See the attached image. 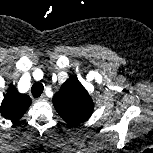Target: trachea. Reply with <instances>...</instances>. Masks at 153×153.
Segmentation results:
<instances>
[{"label":"trachea","instance_id":"1","mask_svg":"<svg viewBox=\"0 0 153 153\" xmlns=\"http://www.w3.org/2000/svg\"><path fill=\"white\" fill-rule=\"evenodd\" d=\"M43 91H44V86L42 83L36 82L31 87V93L35 98L40 97Z\"/></svg>","mask_w":153,"mask_h":153}]
</instances>
